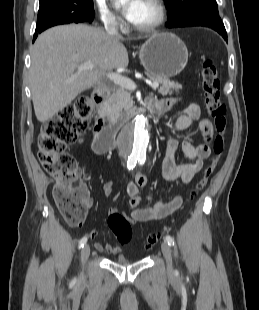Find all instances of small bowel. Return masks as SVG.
<instances>
[{"mask_svg": "<svg viewBox=\"0 0 259 310\" xmlns=\"http://www.w3.org/2000/svg\"><path fill=\"white\" fill-rule=\"evenodd\" d=\"M153 99V98H152ZM156 101V100H155ZM160 108L164 111L181 104L183 114L180 115L170 128L165 129L166 154L162 164V171L166 179L171 181H180L183 184H189L195 175L202 169L204 160L210 155V142L213 137V128L210 121L202 119L199 121L198 127L203 137V142L196 144L192 140H184L181 143V149L184 155L190 160L187 164L177 165L175 162V153L179 147V142L172 136L174 131L188 129L194 121L199 120L201 111L196 102L184 101L181 99H164L156 101ZM83 139L80 140L82 142ZM148 185V180L140 171L136 172L134 180L130 181L126 186V192L130 198V215L125 217L133 223L147 222L153 220H161L182 206V197L175 196L170 201L165 199H155L150 195H143L140 191ZM114 182H105L102 186L105 196H110L114 191ZM169 191L165 190V196L169 195ZM92 206V200L89 207ZM116 212L110 209L109 213ZM79 223L78 225H81ZM91 238L97 236L95 230L90 231ZM95 248L99 252L109 254H119L120 246L110 244L95 243Z\"/></svg>", "mask_w": 259, "mask_h": 310, "instance_id": "c3829d8e", "label": "small bowel"}]
</instances>
